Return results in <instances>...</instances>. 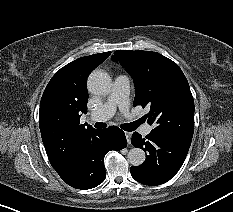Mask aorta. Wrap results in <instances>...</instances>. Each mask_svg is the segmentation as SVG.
I'll return each instance as SVG.
<instances>
[{
  "instance_id": "obj_1",
  "label": "aorta",
  "mask_w": 233,
  "mask_h": 212,
  "mask_svg": "<svg viewBox=\"0 0 233 212\" xmlns=\"http://www.w3.org/2000/svg\"><path fill=\"white\" fill-rule=\"evenodd\" d=\"M87 86L92 94L107 95L111 91L112 84L107 73L94 71L88 77ZM127 158L132 166H140L145 161V152L140 148H132Z\"/></svg>"
}]
</instances>
